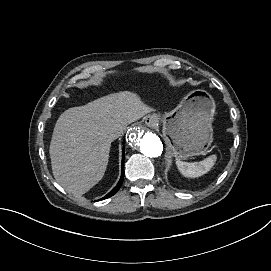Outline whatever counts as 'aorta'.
Segmentation results:
<instances>
[{
    "label": "aorta",
    "mask_w": 271,
    "mask_h": 271,
    "mask_svg": "<svg viewBox=\"0 0 271 271\" xmlns=\"http://www.w3.org/2000/svg\"><path fill=\"white\" fill-rule=\"evenodd\" d=\"M126 138L129 147L140 151L146 157L156 158L162 154L163 144L160 138L142 126L131 128Z\"/></svg>",
    "instance_id": "aorta-1"
}]
</instances>
